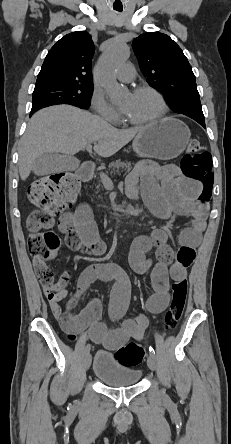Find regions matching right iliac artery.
<instances>
[{"instance_id": "right-iliac-artery-1", "label": "right iliac artery", "mask_w": 231, "mask_h": 444, "mask_svg": "<svg viewBox=\"0 0 231 444\" xmlns=\"http://www.w3.org/2000/svg\"><path fill=\"white\" fill-rule=\"evenodd\" d=\"M89 352H90V345H87V346L85 347L84 353L87 354V353H89Z\"/></svg>"}]
</instances>
